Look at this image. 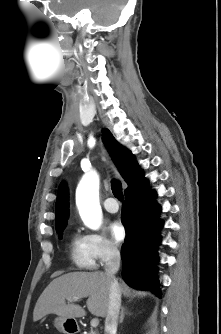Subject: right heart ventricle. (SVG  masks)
I'll list each match as a JSON object with an SVG mask.
<instances>
[{
	"label": "right heart ventricle",
	"instance_id": "right-heart-ventricle-1",
	"mask_svg": "<svg viewBox=\"0 0 221 334\" xmlns=\"http://www.w3.org/2000/svg\"><path fill=\"white\" fill-rule=\"evenodd\" d=\"M69 254L72 263L80 269L91 270L96 266L87 236L74 232L69 240Z\"/></svg>",
	"mask_w": 221,
	"mask_h": 334
}]
</instances>
